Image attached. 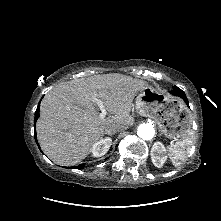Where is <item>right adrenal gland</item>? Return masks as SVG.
<instances>
[{"label":"right adrenal gland","mask_w":221,"mask_h":221,"mask_svg":"<svg viewBox=\"0 0 221 221\" xmlns=\"http://www.w3.org/2000/svg\"><path fill=\"white\" fill-rule=\"evenodd\" d=\"M105 134H108L109 136H113L114 135V133H105Z\"/></svg>","instance_id":"1"}]
</instances>
